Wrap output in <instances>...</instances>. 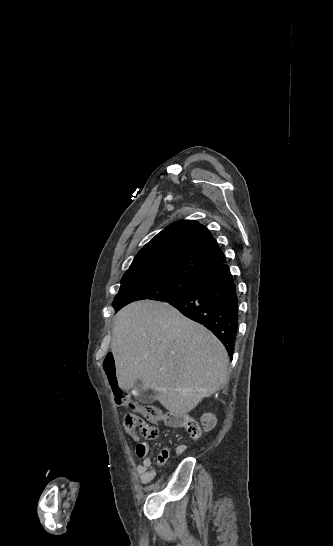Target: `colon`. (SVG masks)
Returning <instances> with one entry per match:
<instances>
[{
    "label": "colon",
    "mask_w": 333,
    "mask_h": 546,
    "mask_svg": "<svg viewBox=\"0 0 333 546\" xmlns=\"http://www.w3.org/2000/svg\"><path fill=\"white\" fill-rule=\"evenodd\" d=\"M115 364V356L111 353L107 354L103 361V368L110 380L109 384L113 390L115 402L119 406L128 407L134 411L133 413H128L124 418L123 425L125 431L132 435L135 433L136 428H138L141 436L145 439H155L158 436L157 427L143 420L137 413L149 418V416L156 414V410L151 406L140 405L126 391L119 389L115 374Z\"/></svg>",
    "instance_id": "colon-1"
}]
</instances>
